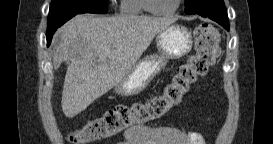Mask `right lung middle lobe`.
I'll return each mask as SVG.
<instances>
[{
  "label": "right lung middle lobe",
  "instance_id": "right-lung-middle-lobe-1",
  "mask_svg": "<svg viewBox=\"0 0 273 144\" xmlns=\"http://www.w3.org/2000/svg\"><path fill=\"white\" fill-rule=\"evenodd\" d=\"M108 10L107 0H52L48 15L47 33L63 18L76 13L105 14Z\"/></svg>",
  "mask_w": 273,
  "mask_h": 144
}]
</instances>
